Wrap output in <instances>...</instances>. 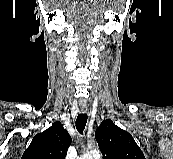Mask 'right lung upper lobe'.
I'll return each instance as SVG.
<instances>
[{
    "instance_id": "right-lung-upper-lobe-1",
    "label": "right lung upper lobe",
    "mask_w": 173,
    "mask_h": 159,
    "mask_svg": "<svg viewBox=\"0 0 173 159\" xmlns=\"http://www.w3.org/2000/svg\"><path fill=\"white\" fill-rule=\"evenodd\" d=\"M71 137L59 121L34 136L21 159H65Z\"/></svg>"
}]
</instances>
